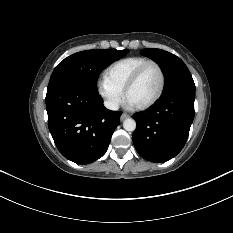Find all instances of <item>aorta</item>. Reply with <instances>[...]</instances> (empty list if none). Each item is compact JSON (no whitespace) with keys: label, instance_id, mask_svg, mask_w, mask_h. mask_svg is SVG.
I'll use <instances>...</instances> for the list:
<instances>
[{"label":"aorta","instance_id":"aorta-1","mask_svg":"<svg viewBox=\"0 0 233 233\" xmlns=\"http://www.w3.org/2000/svg\"><path fill=\"white\" fill-rule=\"evenodd\" d=\"M123 128L126 131H134L136 129V122L132 118H127L123 121Z\"/></svg>","mask_w":233,"mask_h":233}]
</instances>
